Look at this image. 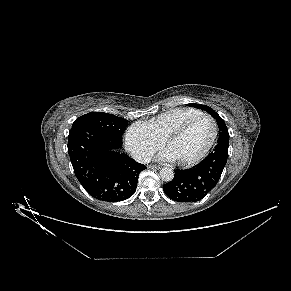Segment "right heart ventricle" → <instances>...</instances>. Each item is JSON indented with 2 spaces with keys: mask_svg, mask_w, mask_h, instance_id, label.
<instances>
[{
  "mask_svg": "<svg viewBox=\"0 0 291 291\" xmlns=\"http://www.w3.org/2000/svg\"><path fill=\"white\" fill-rule=\"evenodd\" d=\"M199 114H202V112L198 109L176 108L160 114L144 125L153 135L163 141L178 126Z\"/></svg>",
  "mask_w": 291,
  "mask_h": 291,
  "instance_id": "e07e8e85",
  "label": "right heart ventricle"
}]
</instances>
